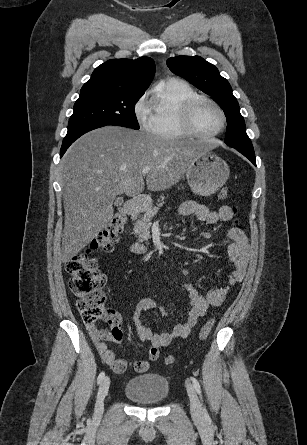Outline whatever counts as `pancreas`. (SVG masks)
<instances>
[{"label":"pancreas","mask_w":307,"mask_h":445,"mask_svg":"<svg viewBox=\"0 0 307 445\" xmlns=\"http://www.w3.org/2000/svg\"><path fill=\"white\" fill-rule=\"evenodd\" d=\"M164 198L165 196H160V198H157V206H150V204H146L144 214H139L137 220H135L134 231L135 235L138 237V241H148V239H151V235L149 233L151 218L157 214L160 206H163ZM147 245H149V243H147Z\"/></svg>","instance_id":"1"}]
</instances>
